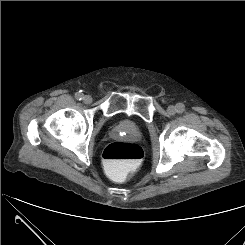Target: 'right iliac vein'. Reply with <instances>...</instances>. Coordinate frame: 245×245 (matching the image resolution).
<instances>
[{
  "label": "right iliac vein",
  "mask_w": 245,
  "mask_h": 245,
  "mask_svg": "<svg viewBox=\"0 0 245 245\" xmlns=\"http://www.w3.org/2000/svg\"><path fill=\"white\" fill-rule=\"evenodd\" d=\"M83 102H84L85 104H90V103L92 102V97H91L90 95H85V96L83 97Z\"/></svg>",
  "instance_id": "1"
}]
</instances>
